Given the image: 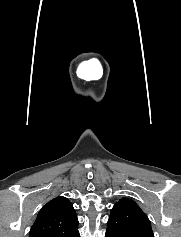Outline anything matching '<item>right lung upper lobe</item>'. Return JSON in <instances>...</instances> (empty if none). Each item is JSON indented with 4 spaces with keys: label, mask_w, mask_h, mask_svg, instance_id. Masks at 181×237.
Here are the masks:
<instances>
[{
    "label": "right lung upper lobe",
    "mask_w": 181,
    "mask_h": 237,
    "mask_svg": "<svg viewBox=\"0 0 181 237\" xmlns=\"http://www.w3.org/2000/svg\"><path fill=\"white\" fill-rule=\"evenodd\" d=\"M78 219L71 202L58 196L38 213L29 237H76Z\"/></svg>",
    "instance_id": "obj_1"
}]
</instances>
